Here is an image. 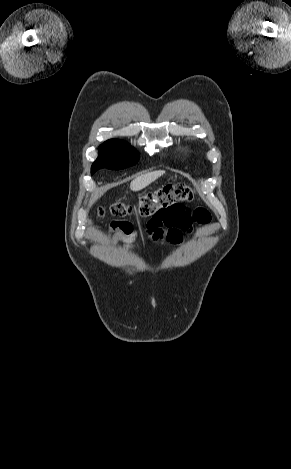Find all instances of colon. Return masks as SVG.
<instances>
[{"mask_svg": "<svg viewBox=\"0 0 291 469\" xmlns=\"http://www.w3.org/2000/svg\"><path fill=\"white\" fill-rule=\"evenodd\" d=\"M193 191L190 187L183 184L166 185L156 192L142 195L136 204H127L123 201H116L108 208V212L114 216H127L137 214L141 217H156L163 211L182 207L183 202L193 199ZM198 215H204L207 212L203 209L196 211ZM105 209L100 208L97 211L98 216H103Z\"/></svg>", "mask_w": 291, "mask_h": 469, "instance_id": "colon-1", "label": "colon"}]
</instances>
